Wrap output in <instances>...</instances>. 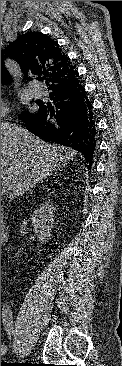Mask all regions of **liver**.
I'll list each match as a JSON object with an SVG mask.
<instances>
[{
  "label": "liver",
  "mask_w": 122,
  "mask_h": 366,
  "mask_svg": "<svg viewBox=\"0 0 122 366\" xmlns=\"http://www.w3.org/2000/svg\"><path fill=\"white\" fill-rule=\"evenodd\" d=\"M75 151L46 143L28 130L1 123V179L13 196L42 181Z\"/></svg>",
  "instance_id": "liver-1"
}]
</instances>
